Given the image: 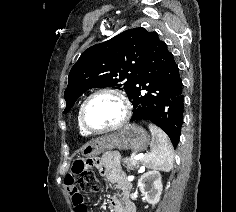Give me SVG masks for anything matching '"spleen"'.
<instances>
[{"instance_id":"obj_1","label":"spleen","mask_w":236,"mask_h":212,"mask_svg":"<svg viewBox=\"0 0 236 212\" xmlns=\"http://www.w3.org/2000/svg\"><path fill=\"white\" fill-rule=\"evenodd\" d=\"M148 127L152 134L151 152L143 156L142 162L149 169L169 172L173 168L174 162L171 141L167 134L158 126L150 123Z\"/></svg>"}]
</instances>
